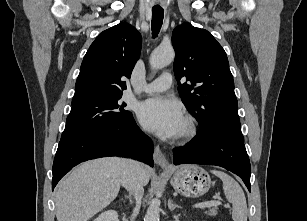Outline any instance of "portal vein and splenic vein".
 Here are the masks:
<instances>
[{
	"instance_id": "portal-vein-and-splenic-vein-1",
	"label": "portal vein and splenic vein",
	"mask_w": 307,
	"mask_h": 221,
	"mask_svg": "<svg viewBox=\"0 0 307 221\" xmlns=\"http://www.w3.org/2000/svg\"><path fill=\"white\" fill-rule=\"evenodd\" d=\"M221 204L222 203L220 201H209V202H202V203L195 204L193 207L194 208H208L212 206H219Z\"/></svg>"
}]
</instances>
